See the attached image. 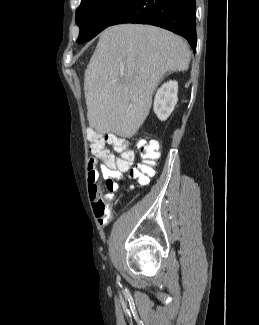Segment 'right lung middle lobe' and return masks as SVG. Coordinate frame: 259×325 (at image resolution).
Here are the masks:
<instances>
[{
    "label": "right lung middle lobe",
    "instance_id": "1",
    "mask_svg": "<svg viewBox=\"0 0 259 325\" xmlns=\"http://www.w3.org/2000/svg\"><path fill=\"white\" fill-rule=\"evenodd\" d=\"M127 0H82L76 11L78 43L91 40L108 27Z\"/></svg>",
    "mask_w": 259,
    "mask_h": 325
}]
</instances>
